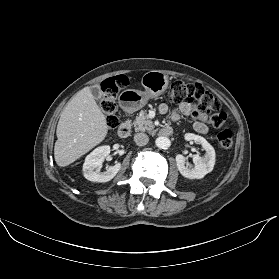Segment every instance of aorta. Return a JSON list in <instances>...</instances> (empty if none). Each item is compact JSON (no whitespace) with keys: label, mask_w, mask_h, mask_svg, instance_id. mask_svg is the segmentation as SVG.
I'll return each instance as SVG.
<instances>
[{"label":"aorta","mask_w":279,"mask_h":279,"mask_svg":"<svg viewBox=\"0 0 279 279\" xmlns=\"http://www.w3.org/2000/svg\"><path fill=\"white\" fill-rule=\"evenodd\" d=\"M157 147L167 149L171 145V141L167 137H158L155 141Z\"/></svg>","instance_id":"1"}]
</instances>
